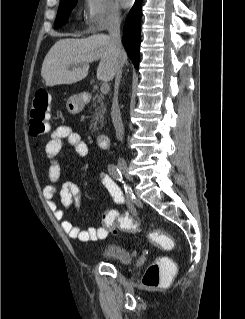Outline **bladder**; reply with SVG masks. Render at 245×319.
Masks as SVG:
<instances>
[{
	"label": "bladder",
	"instance_id": "obj_1",
	"mask_svg": "<svg viewBox=\"0 0 245 319\" xmlns=\"http://www.w3.org/2000/svg\"><path fill=\"white\" fill-rule=\"evenodd\" d=\"M102 260H112L121 264H129L132 261V252L123 243L111 242L99 251Z\"/></svg>",
	"mask_w": 245,
	"mask_h": 319
}]
</instances>
